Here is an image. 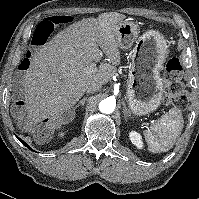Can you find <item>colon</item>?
<instances>
[{"label":"colon","instance_id":"1","mask_svg":"<svg viewBox=\"0 0 199 199\" xmlns=\"http://www.w3.org/2000/svg\"><path fill=\"white\" fill-rule=\"evenodd\" d=\"M65 17L50 16L44 19L36 28L33 36V44H44L56 25L60 24ZM183 71L181 61L176 58H170L165 66L164 79L166 83L164 103L167 105L175 104L178 106L186 105V95L183 90V85L180 76Z\"/></svg>","mask_w":199,"mask_h":199}]
</instances>
